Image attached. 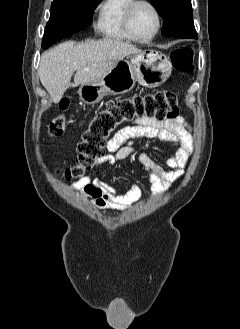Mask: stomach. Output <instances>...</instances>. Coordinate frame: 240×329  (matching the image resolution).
I'll list each match as a JSON object with an SVG mask.
<instances>
[{"mask_svg": "<svg viewBox=\"0 0 240 329\" xmlns=\"http://www.w3.org/2000/svg\"><path fill=\"white\" fill-rule=\"evenodd\" d=\"M121 60L103 77L81 85L80 99L86 104L98 103L106 95H119L133 89L135 83L147 88L162 85L170 76L172 65L163 53L145 50Z\"/></svg>", "mask_w": 240, "mask_h": 329, "instance_id": "stomach-1", "label": "stomach"}]
</instances>
